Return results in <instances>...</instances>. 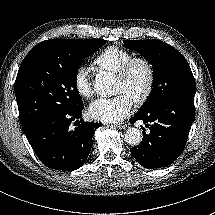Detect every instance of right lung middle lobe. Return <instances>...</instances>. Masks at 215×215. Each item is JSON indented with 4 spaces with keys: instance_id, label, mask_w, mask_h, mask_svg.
I'll use <instances>...</instances> for the list:
<instances>
[{
    "instance_id": "dd1d6c3e",
    "label": "right lung middle lobe",
    "mask_w": 215,
    "mask_h": 215,
    "mask_svg": "<svg viewBox=\"0 0 215 215\" xmlns=\"http://www.w3.org/2000/svg\"><path fill=\"white\" fill-rule=\"evenodd\" d=\"M105 43L103 39H51L28 53L14 86L21 124L43 111L81 107L76 88L78 67Z\"/></svg>"
}]
</instances>
